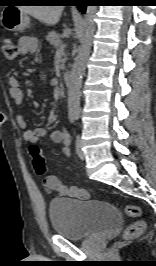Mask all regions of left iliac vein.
Masks as SVG:
<instances>
[{"mask_svg":"<svg viewBox=\"0 0 156 266\" xmlns=\"http://www.w3.org/2000/svg\"><path fill=\"white\" fill-rule=\"evenodd\" d=\"M81 147H82L81 146V139H80L79 136H77V138H76V153L79 156V158L85 159V154L82 151V148Z\"/></svg>","mask_w":156,"mask_h":266,"instance_id":"obj_1","label":"left iliac vein"}]
</instances>
